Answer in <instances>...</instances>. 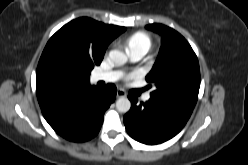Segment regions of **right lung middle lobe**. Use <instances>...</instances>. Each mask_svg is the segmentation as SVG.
<instances>
[{"mask_svg": "<svg viewBox=\"0 0 248 165\" xmlns=\"http://www.w3.org/2000/svg\"><path fill=\"white\" fill-rule=\"evenodd\" d=\"M48 57L50 60L65 68H85V60L82 54L75 49L66 48L64 46H54L49 49ZM92 67H89L90 71Z\"/></svg>", "mask_w": 248, "mask_h": 165, "instance_id": "right-lung-middle-lobe-1", "label": "right lung middle lobe"}]
</instances>
